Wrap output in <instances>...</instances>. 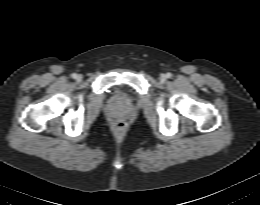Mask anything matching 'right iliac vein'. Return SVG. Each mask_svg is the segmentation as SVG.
<instances>
[{
    "instance_id": "63e3f726",
    "label": "right iliac vein",
    "mask_w": 260,
    "mask_h": 205,
    "mask_svg": "<svg viewBox=\"0 0 260 205\" xmlns=\"http://www.w3.org/2000/svg\"><path fill=\"white\" fill-rule=\"evenodd\" d=\"M76 80L77 81H81L82 80V75H77Z\"/></svg>"
}]
</instances>
